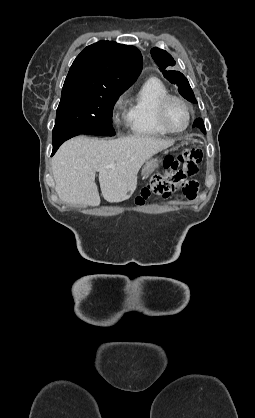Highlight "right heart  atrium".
Segmentation results:
<instances>
[{
	"label": "right heart atrium",
	"mask_w": 255,
	"mask_h": 418,
	"mask_svg": "<svg viewBox=\"0 0 255 418\" xmlns=\"http://www.w3.org/2000/svg\"><path fill=\"white\" fill-rule=\"evenodd\" d=\"M121 108H122V99L117 98L112 106L113 120L115 123H119L118 112L120 111Z\"/></svg>",
	"instance_id": "right-heart-atrium-1"
}]
</instances>
